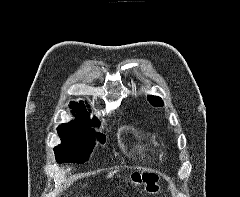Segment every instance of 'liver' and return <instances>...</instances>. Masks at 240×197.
Returning a JSON list of instances; mask_svg holds the SVG:
<instances>
[{"label": "liver", "instance_id": "obj_1", "mask_svg": "<svg viewBox=\"0 0 240 197\" xmlns=\"http://www.w3.org/2000/svg\"><path fill=\"white\" fill-rule=\"evenodd\" d=\"M113 174H114V172H110V173L108 174V177L112 176Z\"/></svg>", "mask_w": 240, "mask_h": 197}]
</instances>
